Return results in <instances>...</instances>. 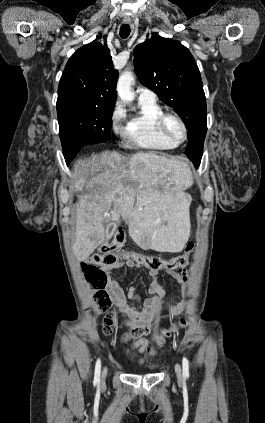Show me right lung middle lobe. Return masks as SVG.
Returning <instances> with one entry per match:
<instances>
[{"label":"right lung middle lobe","instance_id":"1","mask_svg":"<svg viewBox=\"0 0 265 423\" xmlns=\"http://www.w3.org/2000/svg\"><path fill=\"white\" fill-rule=\"evenodd\" d=\"M113 109L75 100L57 102L59 135L67 165L84 145L110 140Z\"/></svg>","mask_w":265,"mask_h":423}]
</instances>
